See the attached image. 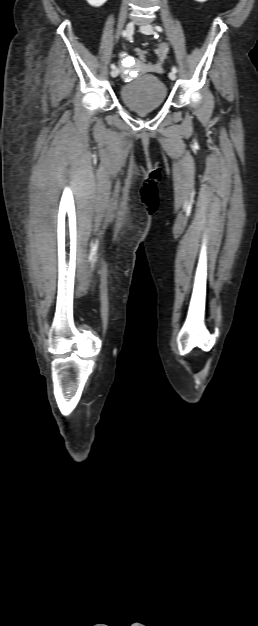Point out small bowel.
<instances>
[{
  "label": "small bowel",
  "mask_w": 258,
  "mask_h": 626,
  "mask_svg": "<svg viewBox=\"0 0 258 626\" xmlns=\"http://www.w3.org/2000/svg\"><path fill=\"white\" fill-rule=\"evenodd\" d=\"M166 52H167L166 45L165 44H161L158 47V50H157V55H158L157 62L152 64V65L146 66V68L148 70H150V71L162 72V69H161V66H160V62L165 58ZM122 63H123V65H124V67L126 69H130L131 67H139V66L142 65L140 61L135 60V59H133L132 57H129V56H123Z\"/></svg>",
  "instance_id": "obj_1"
}]
</instances>
